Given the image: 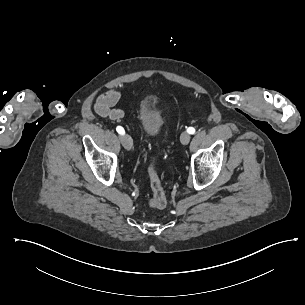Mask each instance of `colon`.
<instances>
[{"label": "colon", "instance_id": "colon-1", "mask_svg": "<svg viewBox=\"0 0 305 305\" xmlns=\"http://www.w3.org/2000/svg\"><path fill=\"white\" fill-rule=\"evenodd\" d=\"M148 176L152 192V196L148 201L149 205L155 209H163L167 206L168 199L163 189L161 179L153 164L148 169Z\"/></svg>", "mask_w": 305, "mask_h": 305}]
</instances>
